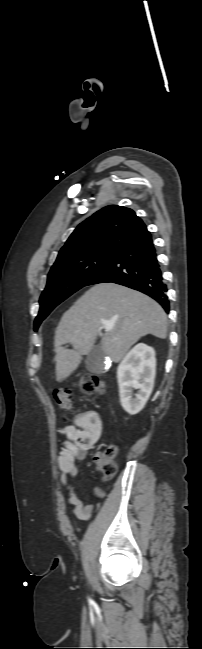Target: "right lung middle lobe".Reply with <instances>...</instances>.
I'll return each instance as SVG.
<instances>
[{
	"label": "right lung middle lobe",
	"mask_w": 202,
	"mask_h": 649,
	"mask_svg": "<svg viewBox=\"0 0 202 649\" xmlns=\"http://www.w3.org/2000/svg\"><path fill=\"white\" fill-rule=\"evenodd\" d=\"M116 254L89 251L55 262L48 274L46 288L40 297V310L34 323L35 331L59 303L84 287L90 278Z\"/></svg>",
	"instance_id": "right-lung-middle-lobe-1"
}]
</instances>
